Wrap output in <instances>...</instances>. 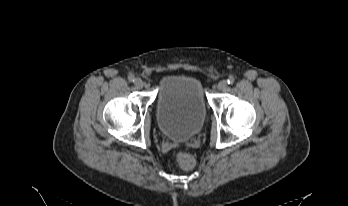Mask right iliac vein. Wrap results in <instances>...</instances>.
Wrapping results in <instances>:
<instances>
[{"label": "right iliac vein", "mask_w": 348, "mask_h": 206, "mask_svg": "<svg viewBox=\"0 0 348 206\" xmlns=\"http://www.w3.org/2000/svg\"><path fill=\"white\" fill-rule=\"evenodd\" d=\"M134 85L137 89H141L144 84L141 78H136L134 81Z\"/></svg>", "instance_id": "63e3f726"}]
</instances>
